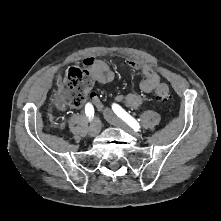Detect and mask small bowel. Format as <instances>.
<instances>
[{
    "label": "small bowel",
    "mask_w": 221,
    "mask_h": 221,
    "mask_svg": "<svg viewBox=\"0 0 221 221\" xmlns=\"http://www.w3.org/2000/svg\"><path fill=\"white\" fill-rule=\"evenodd\" d=\"M84 63L98 83L108 84L114 81L115 73L106 62L90 57L86 58ZM120 66L132 71H140L143 74L144 79L140 83V90L143 93L152 92L160 81V75L154 69V67L148 63L140 62L135 58L126 60L125 62L121 63ZM117 99L118 101L124 102L127 106L134 109L140 107L143 103V97L133 92L125 95H119ZM90 100L96 106L100 107L99 98L94 92L90 93ZM58 106L61 110L67 109V105L61 100H59Z\"/></svg>",
    "instance_id": "small-bowel-1"
}]
</instances>
